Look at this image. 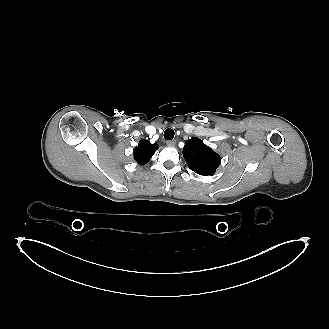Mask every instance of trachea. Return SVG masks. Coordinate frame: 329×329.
Returning <instances> with one entry per match:
<instances>
[{
  "label": "trachea",
  "instance_id": "trachea-1",
  "mask_svg": "<svg viewBox=\"0 0 329 329\" xmlns=\"http://www.w3.org/2000/svg\"><path fill=\"white\" fill-rule=\"evenodd\" d=\"M174 135H175L174 131L170 128L164 131V138L166 140H172L174 138Z\"/></svg>",
  "mask_w": 329,
  "mask_h": 329
}]
</instances>
